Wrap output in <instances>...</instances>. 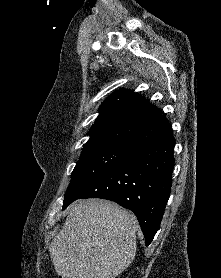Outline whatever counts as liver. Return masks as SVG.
<instances>
[{
    "instance_id": "1",
    "label": "liver",
    "mask_w": 221,
    "mask_h": 278,
    "mask_svg": "<svg viewBox=\"0 0 221 278\" xmlns=\"http://www.w3.org/2000/svg\"><path fill=\"white\" fill-rule=\"evenodd\" d=\"M136 217L116 203H74L49 251L63 278H116L136 254Z\"/></svg>"
}]
</instances>
